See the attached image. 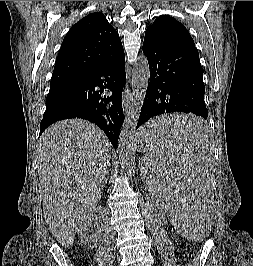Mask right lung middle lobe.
I'll return each mask as SVG.
<instances>
[{
    "label": "right lung middle lobe",
    "instance_id": "obj_1",
    "mask_svg": "<svg viewBox=\"0 0 253 266\" xmlns=\"http://www.w3.org/2000/svg\"><path fill=\"white\" fill-rule=\"evenodd\" d=\"M69 83L50 86L49 93L46 97V108L51 107L56 99L66 90Z\"/></svg>",
    "mask_w": 253,
    "mask_h": 266
}]
</instances>
